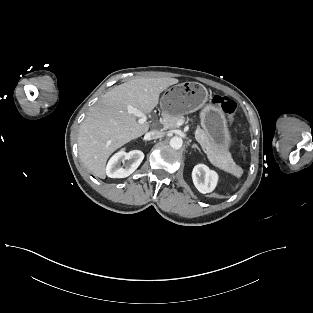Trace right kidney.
I'll use <instances>...</instances> for the list:
<instances>
[{
  "instance_id": "1",
  "label": "right kidney",
  "mask_w": 313,
  "mask_h": 313,
  "mask_svg": "<svg viewBox=\"0 0 313 313\" xmlns=\"http://www.w3.org/2000/svg\"><path fill=\"white\" fill-rule=\"evenodd\" d=\"M144 159V154L140 150L125 152L121 150L114 154L108 161L106 174L110 178H125L132 174ZM128 162L125 163V161ZM121 162L123 165L121 166Z\"/></svg>"
}]
</instances>
